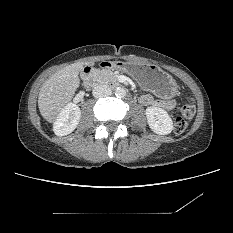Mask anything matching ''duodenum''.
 <instances>
[{"mask_svg":"<svg viewBox=\"0 0 233 233\" xmlns=\"http://www.w3.org/2000/svg\"><path fill=\"white\" fill-rule=\"evenodd\" d=\"M114 67H116V63L113 61H105L98 65V68H114ZM94 71H95L94 67H88L82 73L81 79L86 86H90L92 84V76Z\"/></svg>","mask_w":233,"mask_h":233,"instance_id":"1","label":"duodenum"}]
</instances>
